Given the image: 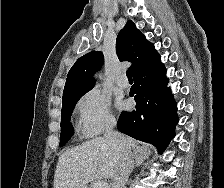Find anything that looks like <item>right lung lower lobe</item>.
<instances>
[{"label":"right lung lower lobe","instance_id":"98d812e1","mask_svg":"<svg viewBox=\"0 0 224 188\" xmlns=\"http://www.w3.org/2000/svg\"><path fill=\"white\" fill-rule=\"evenodd\" d=\"M134 85L129 95L136 101L135 110L122 112L117 128L137 140L156 146L163 152L178 123L177 105L167 88L166 69L160 57L150 66L133 75Z\"/></svg>","mask_w":224,"mask_h":188}]
</instances>
